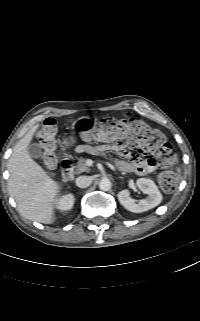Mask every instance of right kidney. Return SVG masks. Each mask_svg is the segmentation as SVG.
Returning <instances> with one entry per match:
<instances>
[{
	"instance_id": "ca27d5eb",
	"label": "right kidney",
	"mask_w": 200,
	"mask_h": 321,
	"mask_svg": "<svg viewBox=\"0 0 200 321\" xmlns=\"http://www.w3.org/2000/svg\"><path fill=\"white\" fill-rule=\"evenodd\" d=\"M73 204L74 196L72 194H67L56 201V208L61 211H67L73 207Z\"/></svg>"
}]
</instances>
